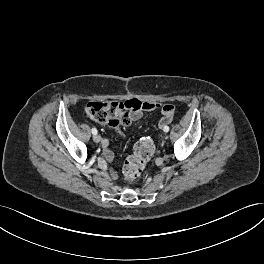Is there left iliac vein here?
Masks as SVG:
<instances>
[{"instance_id":"1","label":"left iliac vein","mask_w":264,"mask_h":264,"mask_svg":"<svg viewBox=\"0 0 264 264\" xmlns=\"http://www.w3.org/2000/svg\"><path fill=\"white\" fill-rule=\"evenodd\" d=\"M166 142L168 141V140H170V135H165V139H164Z\"/></svg>"}]
</instances>
